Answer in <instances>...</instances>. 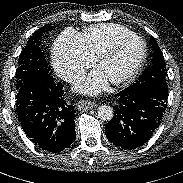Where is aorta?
<instances>
[{
  "label": "aorta",
  "mask_w": 183,
  "mask_h": 183,
  "mask_svg": "<svg viewBox=\"0 0 183 183\" xmlns=\"http://www.w3.org/2000/svg\"><path fill=\"white\" fill-rule=\"evenodd\" d=\"M114 116V110L108 105H101L98 108V117L103 121H110Z\"/></svg>",
  "instance_id": "762f6f07"
}]
</instances>
